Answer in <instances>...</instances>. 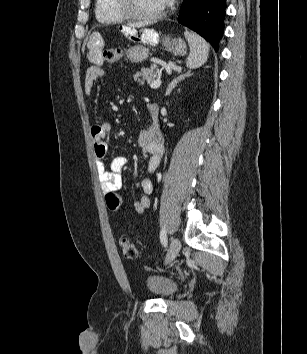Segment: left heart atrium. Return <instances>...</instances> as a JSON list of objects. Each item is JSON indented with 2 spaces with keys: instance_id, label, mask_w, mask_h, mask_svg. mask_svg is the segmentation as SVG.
Segmentation results:
<instances>
[{
  "instance_id": "39dd6f15",
  "label": "left heart atrium",
  "mask_w": 307,
  "mask_h": 354,
  "mask_svg": "<svg viewBox=\"0 0 307 354\" xmlns=\"http://www.w3.org/2000/svg\"><path fill=\"white\" fill-rule=\"evenodd\" d=\"M171 0H163L164 5L168 4Z\"/></svg>"
}]
</instances>
